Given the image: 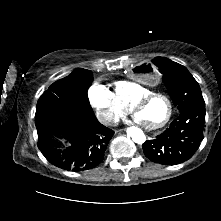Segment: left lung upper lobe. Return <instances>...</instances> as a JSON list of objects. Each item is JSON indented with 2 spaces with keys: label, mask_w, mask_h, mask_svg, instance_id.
I'll return each mask as SVG.
<instances>
[{
  "label": "left lung upper lobe",
  "mask_w": 221,
  "mask_h": 221,
  "mask_svg": "<svg viewBox=\"0 0 221 221\" xmlns=\"http://www.w3.org/2000/svg\"><path fill=\"white\" fill-rule=\"evenodd\" d=\"M153 63L163 74L169 95L180 111L204 104L199 84L184 66L163 57H156Z\"/></svg>",
  "instance_id": "1"
}]
</instances>
